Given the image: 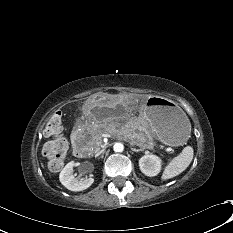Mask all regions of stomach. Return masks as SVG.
Instances as JSON below:
<instances>
[{
    "instance_id": "1",
    "label": "stomach",
    "mask_w": 233,
    "mask_h": 233,
    "mask_svg": "<svg viewBox=\"0 0 233 233\" xmlns=\"http://www.w3.org/2000/svg\"><path fill=\"white\" fill-rule=\"evenodd\" d=\"M140 108V99L129 93L101 94L92 96L84 107L85 116L97 123L111 119L121 121L130 118ZM143 118L150 132L169 146L186 142L191 131L187 116L171 100L152 96L143 109Z\"/></svg>"
}]
</instances>
